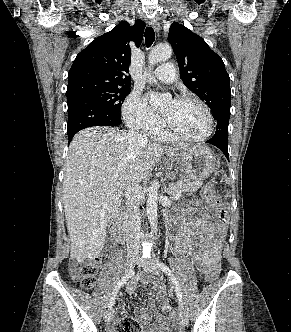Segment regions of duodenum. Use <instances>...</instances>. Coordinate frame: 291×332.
<instances>
[{
	"label": "duodenum",
	"instance_id": "1",
	"mask_svg": "<svg viewBox=\"0 0 291 332\" xmlns=\"http://www.w3.org/2000/svg\"><path fill=\"white\" fill-rule=\"evenodd\" d=\"M124 216V213L119 214L112 226L113 237L119 243H124L125 241Z\"/></svg>",
	"mask_w": 291,
	"mask_h": 332
}]
</instances>
